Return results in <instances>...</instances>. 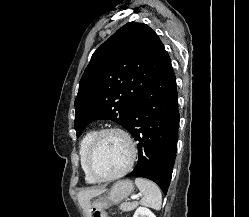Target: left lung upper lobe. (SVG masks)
Returning a JSON list of instances; mask_svg holds the SVG:
<instances>
[{
  "instance_id": "5c2ea615",
  "label": "left lung upper lobe",
  "mask_w": 249,
  "mask_h": 217,
  "mask_svg": "<svg viewBox=\"0 0 249 217\" xmlns=\"http://www.w3.org/2000/svg\"><path fill=\"white\" fill-rule=\"evenodd\" d=\"M168 59L148 25L129 22L116 31L94 52L79 82L77 136L96 119H110L127 129L133 107Z\"/></svg>"
}]
</instances>
